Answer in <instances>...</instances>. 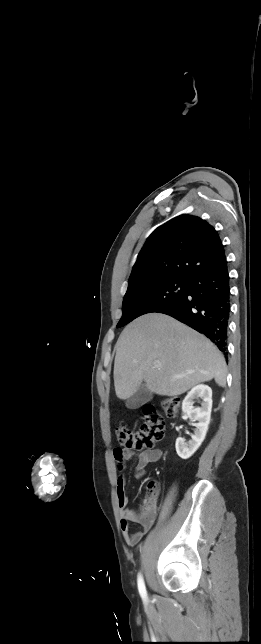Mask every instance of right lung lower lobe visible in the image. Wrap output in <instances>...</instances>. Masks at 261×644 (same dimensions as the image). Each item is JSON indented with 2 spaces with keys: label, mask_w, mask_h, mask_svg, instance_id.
<instances>
[{
  "label": "right lung lower lobe",
  "mask_w": 261,
  "mask_h": 644,
  "mask_svg": "<svg viewBox=\"0 0 261 644\" xmlns=\"http://www.w3.org/2000/svg\"><path fill=\"white\" fill-rule=\"evenodd\" d=\"M229 279L225 259L191 276L185 295L158 313L167 314L206 335L225 353L230 316Z\"/></svg>",
  "instance_id": "right-lung-lower-lobe-1"
}]
</instances>
